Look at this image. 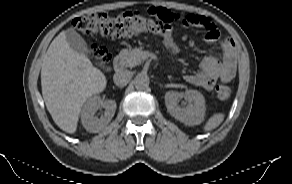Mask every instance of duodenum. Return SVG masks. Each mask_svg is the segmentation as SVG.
Returning <instances> with one entry per match:
<instances>
[{"mask_svg":"<svg viewBox=\"0 0 292 184\" xmlns=\"http://www.w3.org/2000/svg\"><path fill=\"white\" fill-rule=\"evenodd\" d=\"M113 66L116 71H122L125 66L124 57L122 55H118L117 57H115L113 61Z\"/></svg>","mask_w":292,"mask_h":184,"instance_id":"duodenum-1","label":"duodenum"}]
</instances>
